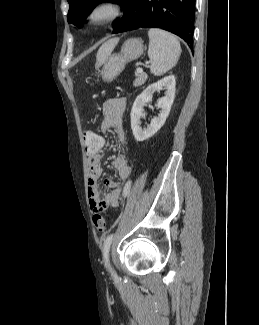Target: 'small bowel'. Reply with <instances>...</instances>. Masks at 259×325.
<instances>
[{"mask_svg": "<svg viewBox=\"0 0 259 325\" xmlns=\"http://www.w3.org/2000/svg\"><path fill=\"white\" fill-rule=\"evenodd\" d=\"M126 109L125 98H113L106 100L102 105V123L101 129L103 132L114 130L117 133L119 141L124 140L123 132V115ZM95 133V132H94ZM95 135H99L95 133ZM101 136V135H100ZM101 149H86L88 158V197L90 208L94 212L103 211L109 206L116 207L119 200L124 195L125 186H121L119 182L113 178H106L104 185L110 188L111 191L106 194H101L99 191L98 180L102 175L103 169L101 166L102 155L101 150L105 145V139ZM113 168L117 173L119 181H127L131 176L132 168L125 156H117L112 162ZM126 183V184H127Z\"/></svg>", "mask_w": 259, "mask_h": 325, "instance_id": "small-bowel-1", "label": "small bowel"}]
</instances>
